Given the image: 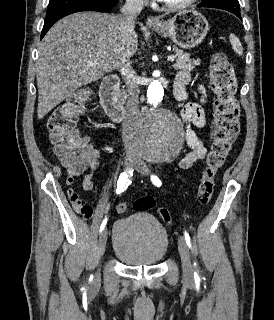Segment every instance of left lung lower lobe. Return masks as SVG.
<instances>
[{"instance_id": "left-lung-lower-lobe-1", "label": "left lung lower lobe", "mask_w": 274, "mask_h": 320, "mask_svg": "<svg viewBox=\"0 0 274 320\" xmlns=\"http://www.w3.org/2000/svg\"><path fill=\"white\" fill-rule=\"evenodd\" d=\"M198 7H204L202 5H198ZM233 14H235L236 16H238L241 19V14L240 12H232Z\"/></svg>"}]
</instances>
